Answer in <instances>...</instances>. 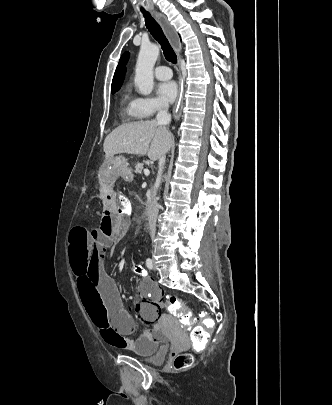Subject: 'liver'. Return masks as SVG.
<instances>
[{"mask_svg": "<svg viewBox=\"0 0 332 405\" xmlns=\"http://www.w3.org/2000/svg\"><path fill=\"white\" fill-rule=\"evenodd\" d=\"M173 143L171 132L156 120L122 124L115 128L104 141L105 159L112 160L115 154L147 155L158 160Z\"/></svg>", "mask_w": 332, "mask_h": 405, "instance_id": "liver-1", "label": "liver"}]
</instances>
